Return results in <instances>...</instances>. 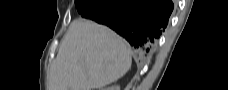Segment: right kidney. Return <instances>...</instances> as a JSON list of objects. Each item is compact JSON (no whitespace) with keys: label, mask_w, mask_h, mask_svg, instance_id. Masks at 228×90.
Segmentation results:
<instances>
[{"label":"right kidney","mask_w":228,"mask_h":90,"mask_svg":"<svg viewBox=\"0 0 228 90\" xmlns=\"http://www.w3.org/2000/svg\"><path fill=\"white\" fill-rule=\"evenodd\" d=\"M105 90H120V86H110L108 88H105Z\"/></svg>","instance_id":"right-kidney-1"}]
</instances>
